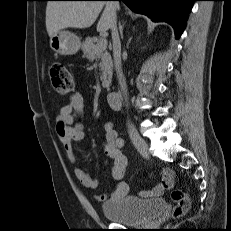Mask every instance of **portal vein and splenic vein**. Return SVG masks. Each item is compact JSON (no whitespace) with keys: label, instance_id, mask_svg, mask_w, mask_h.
<instances>
[{"label":"portal vein and splenic vein","instance_id":"18ae733b","mask_svg":"<svg viewBox=\"0 0 231 231\" xmlns=\"http://www.w3.org/2000/svg\"><path fill=\"white\" fill-rule=\"evenodd\" d=\"M97 45L99 48H106L107 46V40L106 37L104 35H102L99 39V41L97 42Z\"/></svg>","mask_w":231,"mask_h":231}]
</instances>
